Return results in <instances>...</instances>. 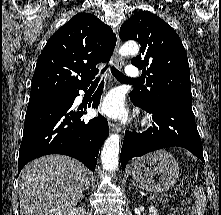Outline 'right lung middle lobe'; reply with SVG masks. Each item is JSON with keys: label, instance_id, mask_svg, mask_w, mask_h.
Instances as JSON below:
<instances>
[{"label": "right lung middle lobe", "instance_id": "right-lung-middle-lobe-1", "mask_svg": "<svg viewBox=\"0 0 221 215\" xmlns=\"http://www.w3.org/2000/svg\"><path fill=\"white\" fill-rule=\"evenodd\" d=\"M63 95H57V96H51V97H47V98H43L40 100H36V101H29L28 105H33V104H39V103H45V102H50V101H55L58 100L60 98H62Z\"/></svg>", "mask_w": 221, "mask_h": 215}]
</instances>
